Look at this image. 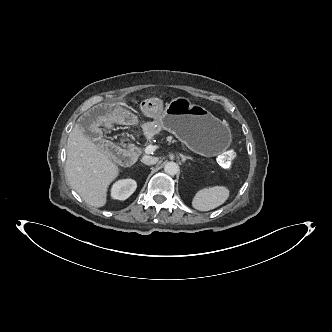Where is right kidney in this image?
Instances as JSON below:
<instances>
[{
  "mask_svg": "<svg viewBox=\"0 0 332 332\" xmlns=\"http://www.w3.org/2000/svg\"><path fill=\"white\" fill-rule=\"evenodd\" d=\"M137 188V184L132 179H123L117 181L111 190V196L114 199L125 200L130 197Z\"/></svg>",
  "mask_w": 332,
  "mask_h": 332,
  "instance_id": "1",
  "label": "right kidney"
}]
</instances>
